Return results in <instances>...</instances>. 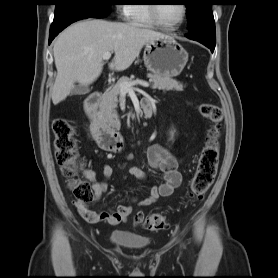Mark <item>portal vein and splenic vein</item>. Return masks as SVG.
I'll list each match as a JSON object with an SVG mask.
<instances>
[{
	"mask_svg": "<svg viewBox=\"0 0 278 278\" xmlns=\"http://www.w3.org/2000/svg\"><path fill=\"white\" fill-rule=\"evenodd\" d=\"M111 57V52H105L103 54V59L104 60H109ZM141 85L143 87H149V83L148 82H142V81H132L130 83L124 82L120 84V91L121 92H128L130 90H133V87L136 85Z\"/></svg>",
	"mask_w": 278,
	"mask_h": 278,
	"instance_id": "obj_1",
	"label": "portal vein and splenic vein"
}]
</instances>
